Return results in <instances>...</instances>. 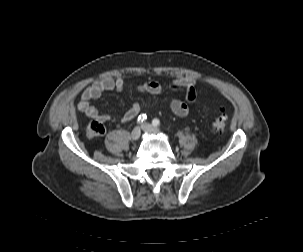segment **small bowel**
Segmentation results:
<instances>
[{"label":"small bowel","mask_w":303,"mask_h":252,"mask_svg":"<svg viewBox=\"0 0 303 252\" xmlns=\"http://www.w3.org/2000/svg\"><path fill=\"white\" fill-rule=\"evenodd\" d=\"M124 86L125 82L121 77H106L94 81L81 93L77 104L78 110L87 117L101 121L102 123L110 121L111 116L100 113L99 110L91 104V101L99 98L104 92L107 91L121 92L123 91ZM166 90L172 92L184 91L186 93V101L175 98L170 101L169 106L171 111L176 116H187L190 112V104L193 103L197 98V90L193 80L185 77H175L168 86H163L156 81L147 80L138 86V91L141 93L161 94ZM141 109L142 106L139 102L132 103L129 109L122 116L121 121H132L139 115Z\"/></svg>","instance_id":"c3829d8e"}]
</instances>
